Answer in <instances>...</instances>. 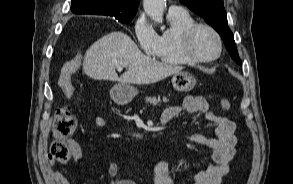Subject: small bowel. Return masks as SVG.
I'll return each instance as SVG.
<instances>
[{
	"mask_svg": "<svg viewBox=\"0 0 293 184\" xmlns=\"http://www.w3.org/2000/svg\"><path fill=\"white\" fill-rule=\"evenodd\" d=\"M183 112L188 114L203 113L205 119L215 129L214 137H206L200 134H189L184 137L188 142L210 149L214 161L213 165L198 172L191 184H221L223 177L229 171V163L236 152L235 123L226 117L212 112L207 100L202 96H188L181 105L166 108L162 114V121L167 123ZM95 123L100 127L106 125V121L102 117H96ZM72 148V160L77 165L82 157L81 150L74 144ZM53 164L54 162H51V165ZM121 168L122 163L120 161L108 165L107 174L110 177V184H136L132 180L121 178ZM50 176L56 184H71L69 179L58 170H51ZM153 182L154 184H176L169 176V164L166 159L160 158L157 160L153 170Z\"/></svg>",
	"mask_w": 293,
	"mask_h": 184,
	"instance_id": "c3829d8e",
	"label": "small bowel"
}]
</instances>
